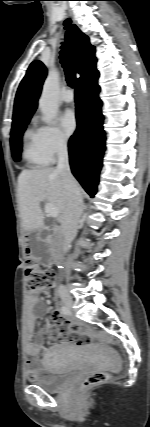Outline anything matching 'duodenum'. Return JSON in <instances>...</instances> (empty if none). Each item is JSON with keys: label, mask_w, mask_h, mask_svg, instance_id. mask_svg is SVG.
Here are the masks:
<instances>
[{"label": "duodenum", "mask_w": 150, "mask_h": 427, "mask_svg": "<svg viewBox=\"0 0 150 427\" xmlns=\"http://www.w3.org/2000/svg\"><path fill=\"white\" fill-rule=\"evenodd\" d=\"M57 237H58V236H57ZM26 239H27V241H30V238H29V237H27ZM60 263H61V259H60V258H58V259H57V264H60Z\"/></svg>", "instance_id": "obj_1"}]
</instances>
